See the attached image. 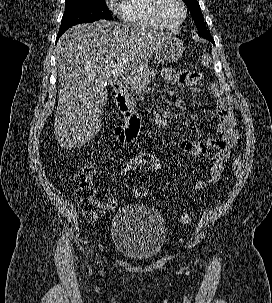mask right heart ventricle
I'll return each instance as SVG.
<instances>
[{
	"instance_id": "e07e8e85",
	"label": "right heart ventricle",
	"mask_w": 272,
	"mask_h": 303,
	"mask_svg": "<svg viewBox=\"0 0 272 303\" xmlns=\"http://www.w3.org/2000/svg\"><path fill=\"white\" fill-rule=\"evenodd\" d=\"M152 5L153 0H122L120 15L130 25L160 29L162 26L153 17Z\"/></svg>"
}]
</instances>
